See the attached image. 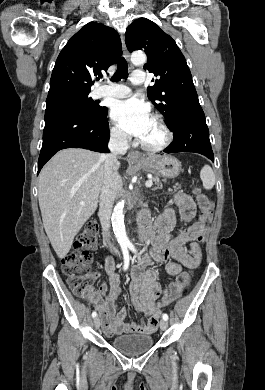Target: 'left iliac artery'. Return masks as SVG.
<instances>
[{"label":"left iliac artery","mask_w":265,"mask_h":390,"mask_svg":"<svg viewBox=\"0 0 265 390\" xmlns=\"http://www.w3.org/2000/svg\"><path fill=\"white\" fill-rule=\"evenodd\" d=\"M129 248H130L135 254H137V251H136L135 247H134L132 244L129 245ZM162 318H163V320L167 321V320H168V315H167V314H163Z\"/></svg>","instance_id":"44dca946"}]
</instances>
